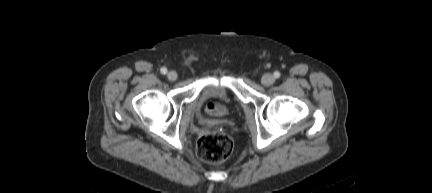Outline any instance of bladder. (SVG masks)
<instances>
[{"instance_id":"bladder-1","label":"bladder","mask_w":432,"mask_h":193,"mask_svg":"<svg viewBox=\"0 0 432 193\" xmlns=\"http://www.w3.org/2000/svg\"><path fill=\"white\" fill-rule=\"evenodd\" d=\"M221 102L227 109L233 107V101L230 94L223 88L219 86H211L205 88L199 96L195 99V103L198 107H203L211 101ZM229 113L227 111L224 116ZM219 119L207 120L206 123H216Z\"/></svg>"}]
</instances>
